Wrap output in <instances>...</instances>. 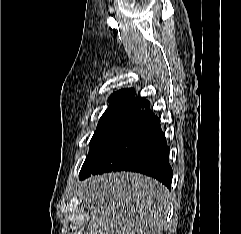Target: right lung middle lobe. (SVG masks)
Returning a JSON list of instances; mask_svg holds the SVG:
<instances>
[{"label": "right lung middle lobe", "mask_w": 241, "mask_h": 234, "mask_svg": "<svg viewBox=\"0 0 241 234\" xmlns=\"http://www.w3.org/2000/svg\"><path fill=\"white\" fill-rule=\"evenodd\" d=\"M138 106L135 105H111L99 120L97 130L91 141L89 154L82 166L85 167L90 157L101 143L130 115Z\"/></svg>", "instance_id": "dd1d6c3e"}]
</instances>
